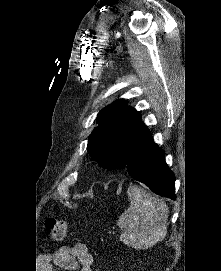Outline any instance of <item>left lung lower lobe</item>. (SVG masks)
Returning <instances> with one entry per match:
<instances>
[{"label":"left lung lower lobe","instance_id":"1","mask_svg":"<svg viewBox=\"0 0 221 271\" xmlns=\"http://www.w3.org/2000/svg\"><path fill=\"white\" fill-rule=\"evenodd\" d=\"M125 168L133 179L154 193L176 200L174 174L165 162V152L153 142L152 135L131 154Z\"/></svg>","mask_w":221,"mask_h":271}]
</instances>
